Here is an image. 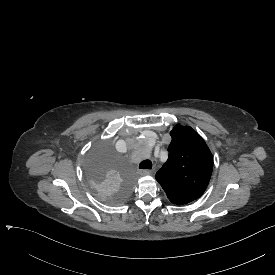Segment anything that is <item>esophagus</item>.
<instances>
[{
  "mask_svg": "<svg viewBox=\"0 0 275 275\" xmlns=\"http://www.w3.org/2000/svg\"><path fill=\"white\" fill-rule=\"evenodd\" d=\"M139 174L141 176L150 175L151 174V170H149V169H141V170H139Z\"/></svg>",
  "mask_w": 275,
  "mask_h": 275,
  "instance_id": "34e87169",
  "label": "esophagus"
}]
</instances>
